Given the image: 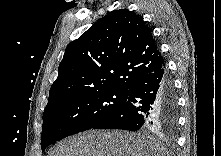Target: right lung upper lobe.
Masks as SVG:
<instances>
[{
    "mask_svg": "<svg viewBox=\"0 0 221 156\" xmlns=\"http://www.w3.org/2000/svg\"><path fill=\"white\" fill-rule=\"evenodd\" d=\"M164 65L143 19L114 10L66 47L46 108L80 93L128 91Z\"/></svg>",
    "mask_w": 221,
    "mask_h": 156,
    "instance_id": "1",
    "label": "right lung upper lobe"
}]
</instances>
